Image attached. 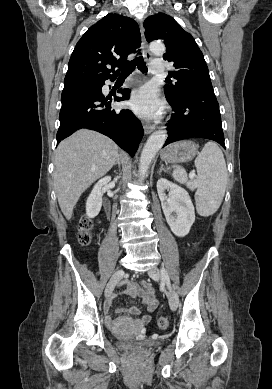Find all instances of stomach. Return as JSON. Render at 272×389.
Listing matches in <instances>:
<instances>
[{"mask_svg": "<svg viewBox=\"0 0 272 389\" xmlns=\"http://www.w3.org/2000/svg\"><path fill=\"white\" fill-rule=\"evenodd\" d=\"M198 153V145L193 141H179L165 147L161 158L169 163L187 162Z\"/></svg>", "mask_w": 272, "mask_h": 389, "instance_id": "obj_1", "label": "stomach"}]
</instances>
